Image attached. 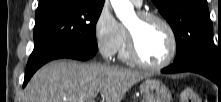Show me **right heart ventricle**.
Listing matches in <instances>:
<instances>
[{"label": "right heart ventricle", "mask_w": 221, "mask_h": 102, "mask_svg": "<svg viewBox=\"0 0 221 102\" xmlns=\"http://www.w3.org/2000/svg\"><path fill=\"white\" fill-rule=\"evenodd\" d=\"M120 56L125 61H128L130 59L129 55H128V52H127L125 39H124V42H123V44H122V46L120 48Z\"/></svg>", "instance_id": "e07e8e85"}]
</instances>
